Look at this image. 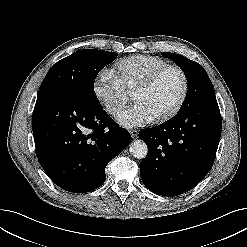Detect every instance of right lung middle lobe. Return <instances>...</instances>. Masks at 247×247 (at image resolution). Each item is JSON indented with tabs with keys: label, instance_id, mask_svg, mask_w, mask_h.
I'll return each mask as SVG.
<instances>
[{
	"label": "right lung middle lobe",
	"instance_id": "obj_1",
	"mask_svg": "<svg viewBox=\"0 0 247 247\" xmlns=\"http://www.w3.org/2000/svg\"><path fill=\"white\" fill-rule=\"evenodd\" d=\"M116 57V53L103 50H79L52 66L39 91L58 85L73 86L92 102L99 103L94 91L95 78L99 71Z\"/></svg>",
	"mask_w": 247,
	"mask_h": 247
}]
</instances>
